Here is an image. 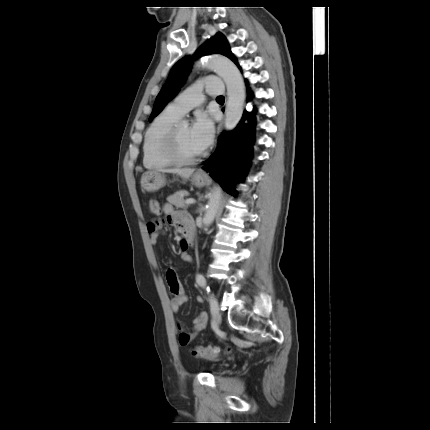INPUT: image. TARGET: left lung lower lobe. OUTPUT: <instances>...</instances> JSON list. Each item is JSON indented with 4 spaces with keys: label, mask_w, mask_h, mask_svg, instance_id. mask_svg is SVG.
I'll return each instance as SVG.
<instances>
[{
    "label": "left lung lower lobe",
    "mask_w": 430,
    "mask_h": 430,
    "mask_svg": "<svg viewBox=\"0 0 430 430\" xmlns=\"http://www.w3.org/2000/svg\"><path fill=\"white\" fill-rule=\"evenodd\" d=\"M250 96L251 92L248 90V98ZM253 119L252 113L244 111L237 128L220 136L216 152L203 167L225 191L234 196L237 195L234 185L241 182L249 167L254 141ZM245 120H249V123L245 124Z\"/></svg>",
    "instance_id": "0a47b994"
}]
</instances>
